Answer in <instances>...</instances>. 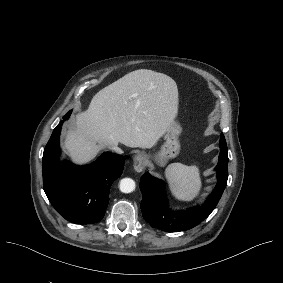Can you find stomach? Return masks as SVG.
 Masks as SVG:
<instances>
[{"label":"stomach","instance_id":"stomach-1","mask_svg":"<svg viewBox=\"0 0 283 283\" xmlns=\"http://www.w3.org/2000/svg\"><path fill=\"white\" fill-rule=\"evenodd\" d=\"M182 132L183 126L177 117L172 118L166 125L164 141L158 151L147 156H140L141 159L137 162L147 159L153 161L159 167H165L170 160L177 158L181 153L179 136Z\"/></svg>","mask_w":283,"mask_h":283}]
</instances>
